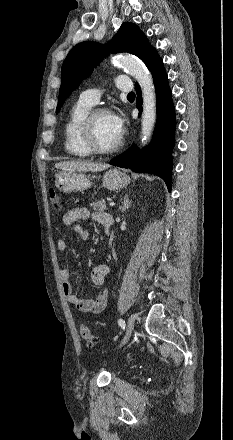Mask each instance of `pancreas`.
I'll list each match as a JSON object with an SVG mask.
<instances>
[{"instance_id": "1", "label": "pancreas", "mask_w": 233, "mask_h": 440, "mask_svg": "<svg viewBox=\"0 0 233 440\" xmlns=\"http://www.w3.org/2000/svg\"><path fill=\"white\" fill-rule=\"evenodd\" d=\"M90 206L93 207V209L95 211H99V212H102V211H105L108 209L106 206L105 200H103V199L91 203Z\"/></svg>"}]
</instances>
